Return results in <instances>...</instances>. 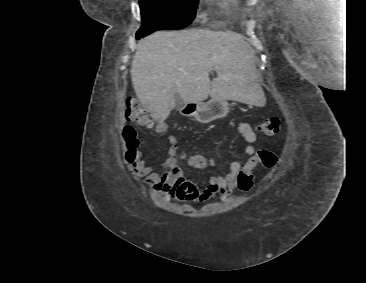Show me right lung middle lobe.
<instances>
[{
  "label": "right lung middle lobe",
  "instance_id": "1",
  "mask_svg": "<svg viewBox=\"0 0 366 283\" xmlns=\"http://www.w3.org/2000/svg\"><path fill=\"white\" fill-rule=\"evenodd\" d=\"M199 0H140L142 26L136 33L147 36L156 30L181 29L195 17Z\"/></svg>",
  "mask_w": 366,
  "mask_h": 283
}]
</instances>
